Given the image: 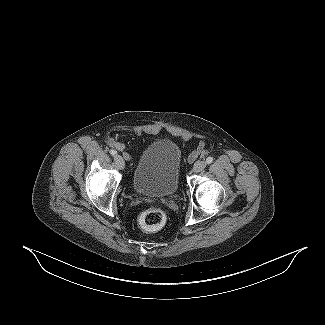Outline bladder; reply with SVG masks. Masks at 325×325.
<instances>
[{
  "label": "bladder",
  "mask_w": 325,
  "mask_h": 325,
  "mask_svg": "<svg viewBox=\"0 0 325 325\" xmlns=\"http://www.w3.org/2000/svg\"><path fill=\"white\" fill-rule=\"evenodd\" d=\"M181 150L171 140L151 142L142 153L133 174L134 189L145 196L173 195L178 188Z\"/></svg>",
  "instance_id": "bladder-1"
}]
</instances>
